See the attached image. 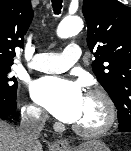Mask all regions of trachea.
<instances>
[{"label": "trachea", "instance_id": "trachea-1", "mask_svg": "<svg viewBox=\"0 0 131 151\" xmlns=\"http://www.w3.org/2000/svg\"><path fill=\"white\" fill-rule=\"evenodd\" d=\"M52 7L55 14H60L62 9V0H51Z\"/></svg>", "mask_w": 131, "mask_h": 151}]
</instances>
